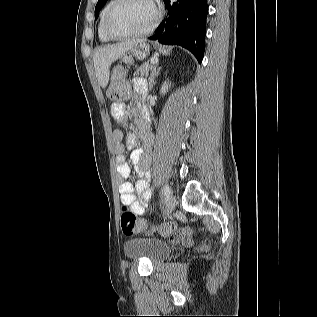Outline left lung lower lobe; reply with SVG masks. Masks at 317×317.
Returning <instances> with one entry per match:
<instances>
[{"label": "left lung lower lobe", "mask_w": 317, "mask_h": 317, "mask_svg": "<svg viewBox=\"0 0 317 317\" xmlns=\"http://www.w3.org/2000/svg\"><path fill=\"white\" fill-rule=\"evenodd\" d=\"M167 18L149 37L168 45H180L191 51L199 62L205 48L207 0H164Z\"/></svg>", "instance_id": "0a47b994"}]
</instances>
